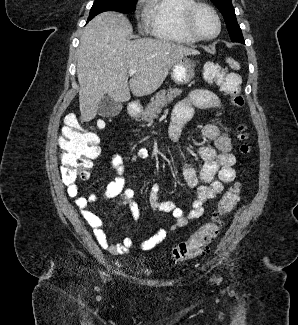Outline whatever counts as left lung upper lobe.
<instances>
[{
  "mask_svg": "<svg viewBox=\"0 0 298 325\" xmlns=\"http://www.w3.org/2000/svg\"><path fill=\"white\" fill-rule=\"evenodd\" d=\"M222 13L233 42H243L241 29L236 21L235 11L231 0H211Z\"/></svg>",
  "mask_w": 298,
  "mask_h": 325,
  "instance_id": "left-lung-upper-lobe-1",
  "label": "left lung upper lobe"
}]
</instances>
